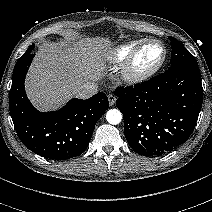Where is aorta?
<instances>
[{"mask_svg":"<svg viewBox=\"0 0 212 212\" xmlns=\"http://www.w3.org/2000/svg\"><path fill=\"white\" fill-rule=\"evenodd\" d=\"M106 120L112 125H117L122 120V113L118 109H110L106 113Z\"/></svg>","mask_w":212,"mask_h":212,"instance_id":"1","label":"aorta"}]
</instances>
